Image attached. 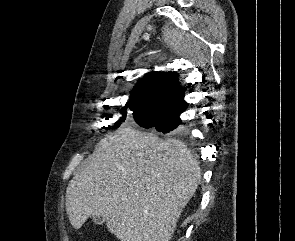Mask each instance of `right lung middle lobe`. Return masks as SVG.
<instances>
[{
    "label": "right lung middle lobe",
    "mask_w": 295,
    "mask_h": 241,
    "mask_svg": "<svg viewBox=\"0 0 295 241\" xmlns=\"http://www.w3.org/2000/svg\"><path fill=\"white\" fill-rule=\"evenodd\" d=\"M127 108H129L133 112V117L135 122L144 128H147L151 124L157 121L164 120L168 117L166 114H163V113L147 111L139 107L126 104L123 110H121L122 117H120L118 121H116L110 126L112 129H117L123 124L127 116V112L125 111Z\"/></svg>",
    "instance_id": "right-lung-middle-lobe-1"
}]
</instances>
